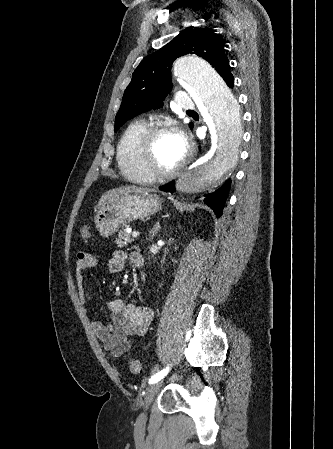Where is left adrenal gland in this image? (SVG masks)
<instances>
[{"instance_id":"left-adrenal-gland-1","label":"left adrenal gland","mask_w":333,"mask_h":449,"mask_svg":"<svg viewBox=\"0 0 333 449\" xmlns=\"http://www.w3.org/2000/svg\"><path fill=\"white\" fill-rule=\"evenodd\" d=\"M161 229L159 223L155 224V226L153 227V229L151 230V235L150 238L152 239Z\"/></svg>"}]
</instances>
